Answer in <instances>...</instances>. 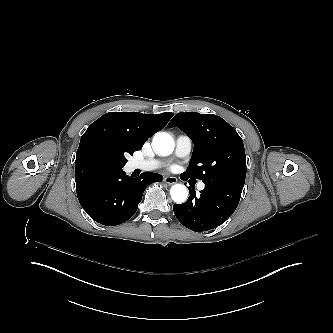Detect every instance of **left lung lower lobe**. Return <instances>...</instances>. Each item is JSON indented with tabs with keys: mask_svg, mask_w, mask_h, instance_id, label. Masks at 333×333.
<instances>
[{
	"mask_svg": "<svg viewBox=\"0 0 333 333\" xmlns=\"http://www.w3.org/2000/svg\"><path fill=\"white\" fill-rule=\"evenodd\" d=\"M182 180L189 177L180 175ZM194 179H189V182ZM205 188L196 196L194 187H189L190 196L183 204H174L177 219L192 231H205L223 224L239 204L244 184L231 180L204 183Z\"/></svg>",
	"mask_w": 333,
	"mask_h": 333,
	"instance_id": "left-lung-lower-lobe-1",
	"label": "left lung lower lobe"
}]
</instances>
